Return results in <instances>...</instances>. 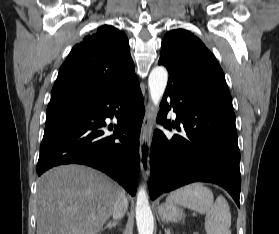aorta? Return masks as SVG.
<instances>
[{"label": "aorta", "instance_id": "aorta-1", "mask_svg": "<svg viewBox=\"0 0 279 234\" xmlns=\"http://www.w3.org/2000/svg\"><path fill=\"white\" fill-rule=\"evenodd\" d=\"M168 81V72L163 66L154 67L148 78L150 98L154 106H159ZM136 223L139 234H153L154 218L149 205L147 192L140 187L136 200Z\"/></svg>", "mask_w": 279, "mask_h": 234}]
</instances>
